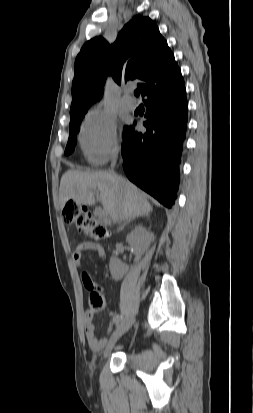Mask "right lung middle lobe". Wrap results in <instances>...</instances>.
I'll return each mask as SVG.
<instances>
[{"instance_id":"1","label":"right lung middle lobe","mask_w":253,"mask_h":413,"mask_svg":"<svg viewBox=\"0 0 253 413\" xmlns=\"http://www.w3.org/2000/svg\"><path fill=\"white\" fill-rule=\"evenodd\" d=\"M83 118H84V115H82L80 117H77L74 120L70 121L69 133L71 135L69 136L68 143H67V146H66V149H65V154L66 155H69L74 151V147H75L76 142H77L76 134L80 130L79 123L83 120ZM126 129H127V126L124 127V132H125Z\"/></svg>"}]
</instances>
